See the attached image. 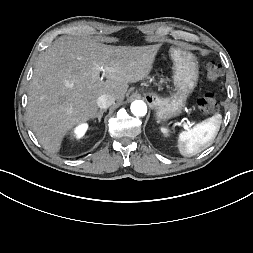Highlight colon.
<instances>
[{
	"instance_id": "1",
	"label": "colon",
	"mask_w": 253,
	"mask_h": 253,
	"mask_svg": "<svg viewBox=\"0 0 253 253\" xmlns=\"http://www.w3.org/2000/svg\"><path fill=\"white\" fill-rule=\"evenodd\" d=\"M206 74L208 79L217 80L222 74V67L216 62H210L206 66ZM198 108L205 114H210L216 111L217 102L213 93H206L197 102Z\"/></svg>"
}]
</instances>
